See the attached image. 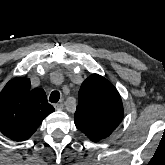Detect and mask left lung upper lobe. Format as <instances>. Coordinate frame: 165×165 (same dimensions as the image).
<instances>
[{"label":"left lung upper lobe","instance_id":"5c2ea615","mask_svg":"<svg viewBox=\"0 0 165 165\" xmlns=\"http://www.w3.org/2000/svg\"><path fill=\"white\" fill-rule=\"evenodd\" d=\"M123 116L120 94L106 78L92 74L82 83L74 122L90 140L108 137Z\"/></svg>","mask_w":165,"mask_h":165}]
</instances>
